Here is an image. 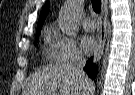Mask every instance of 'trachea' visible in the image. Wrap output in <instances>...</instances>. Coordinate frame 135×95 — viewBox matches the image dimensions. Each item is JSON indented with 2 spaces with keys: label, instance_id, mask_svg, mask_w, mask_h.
<instances>
[{
  "label": "trachea",
  "instance_id": "3493384b",
  "mask_svg": "<svg viewBox=\"0 0 135 95\" xmlns=\"http://www.w3.org/2000/svg\"><path fill=\"white\" fill-rule=\"evenodd\" d=\"M93 10L96 13H100L101 11V0H91Z\"/></svg>",
  "mask_w": 135,
  "mask_h": 95
}]
</instances>
